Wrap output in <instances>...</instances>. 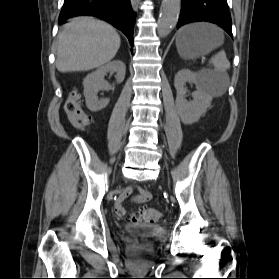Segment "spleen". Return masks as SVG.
I'll use <instances>...</instances> for the list:
<instances>
[{"instance_id":"1","label":"spleen","mask_w":279,"mask_h":279,"mask_svg":"<svg viewBox=\"0 0 279 279\" xmlns=\"http://www.w3.org/2000/svg\"><path fill=\"white\" fill-rule=\"evenodd\" d=\"M210 63L214 66L221 80L207 84V91L211 96H222L226 92L229 84V77L226 70L230 67V63L223 50L215 54L211 58Z\"/></svg>"}]
</instances>
